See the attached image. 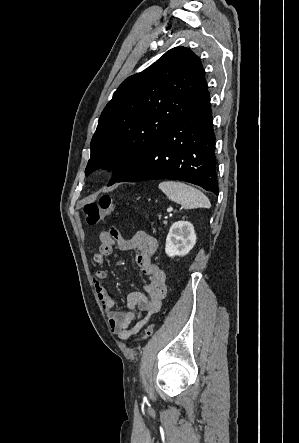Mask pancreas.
I'll use <instances>...</instances> for the list:
<instances>
[{
  "mask_svg": "<svg viewBox=\"0 0 299 443\" xmlns=\"http://www.w3.org/2000/svg\"><path fill=\"white\" fill-rule=\"evenodd\" d=\"M163 224H165V225H166V224H167V221H164V222H163Z\"/></svg>",
  "mask_w": 299,
  "mask_h": 443,
  "instance_id": "pancreas-1",
  "label": "pancreas"
}]
</instances>
